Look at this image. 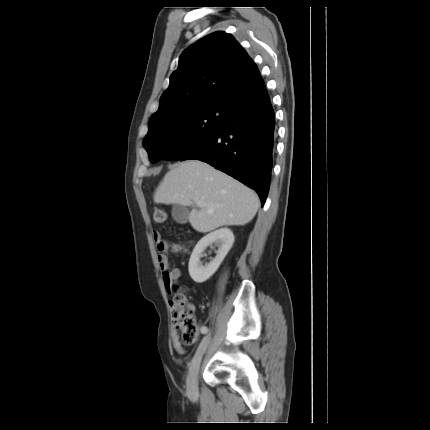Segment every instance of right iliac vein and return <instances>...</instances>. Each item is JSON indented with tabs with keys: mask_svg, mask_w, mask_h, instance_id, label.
I'll return each instance as SVG.
<instances>
[{
	"mask_svg": "<svg viewBox=\"0 0 430 430\" xmlns=\"http://www.w3.org/2000/svg\"><path fill=\"white\" fill-rule=\"evenodd\" d=\"M209 342L210 338L208 336L204 341H201L190 363L189 373L187 377V391L191 398H195L198 396V371L203 355L209 345Z\"/></svg>",
	"mask_w": 430,
	"mask_h": 430,
	"instance_id": "63e3f726",
	"label": "right iliac vein"
}]
</instances>
